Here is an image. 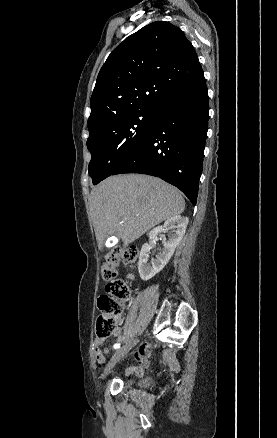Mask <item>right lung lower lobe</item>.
<instances>
[{
	"instance_id": "1",
	"label": "right lung lower lobe",
	"mask_w": 277,
	"mask_h": 438,
	"mask_svg": "<svg viewBox=\"0 0 277 438\" xmlns=\"http://www.w3.org/2000/svg\"><path fill=\"white\" fill-rule=\"evenodd\" d=\"M208 113V90L202 75L157 104L146 137L113 175L141 173L159 177L179 188L195 205Z\"/></svg>"
}]
</instances>
